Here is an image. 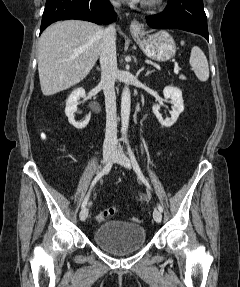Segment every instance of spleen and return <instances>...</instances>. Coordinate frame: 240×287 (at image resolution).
<instances>
[{"mask_svg": "<svg viewBox=\"0 0 240 287\" xmlns=\"http://www.w3.org/2000/svg\"><path fill=\"white\" fill-rule=\"evenodd\" d=\"M184 44V41H181V45ZM189 63L194 70L196 77L205 82L209 78V66L208 61L203 53V51L198 47L194 46L191 50Z\"/></svg>", "mask_w": 240, "mask_h": 287, "instance_id": "3e777b00", "label": "spleen"}]
</instances>
